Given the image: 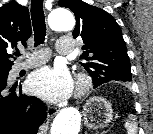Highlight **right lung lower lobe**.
I'll return each mask as SVG.
<instances>
[{"mask_svg": "<svg viewBox=\"0 0 153 134\" xmlns=\"http://www.w3.org/2000/svg\"><path fill=\"white\" fill-rule=\"evenodd\" d=\"M0 76V134H36L46 118V106L36 97L13 92Z\"/></svg>", "mask_w": 153, "mask_h": 134, "instance_id": "98d812e1", "label": "right lung lower lobe"}]
</instances>
